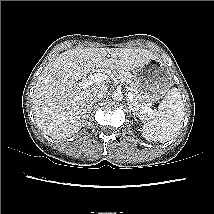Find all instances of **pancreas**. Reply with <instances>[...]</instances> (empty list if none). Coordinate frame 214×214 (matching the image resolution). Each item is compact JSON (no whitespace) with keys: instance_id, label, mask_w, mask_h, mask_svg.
<instances>
[{"instance_id":"pancreas-1","label":"pancreas","mask_w":214,"mask_h":214,"mask_svg":"<svg viewBox=\"0 0 214 214\" xmlns=\"http://www.w3.org/2000/svg\"><path fill=\"white\" fill-rule=\"evenodd\" d=\"M115 73L120 78H132V76L128 72H125V71L117 70V71H115ZM129 88H130L131 92L133 93V96H135V94L137 92V86L134 81L130 83ZM129 104L131 106L132 111H134L136 114H140V115H141L140 111L144 108V106H146V104L139 103V102L135 101L134 99Z\"/></svg>"}]
</instances>
